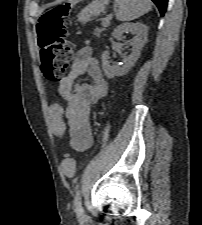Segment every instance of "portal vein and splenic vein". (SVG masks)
<instances>
[{"label": "portal vein and splenic vein", "instance_id": "obj_1", "mask_svg": "<svg viewBox=\"0 0 202 225\" xmlns=\"http://www.w3.org/2000/svg\"><path fill=\"white\" fill-rule=\"evenodd\" d=\"M110 19H111V15H109L108 17H105L103 19V24H109Z\"/></svg>", "mask_w": 202, "mask_h": 225}]
</instances>
